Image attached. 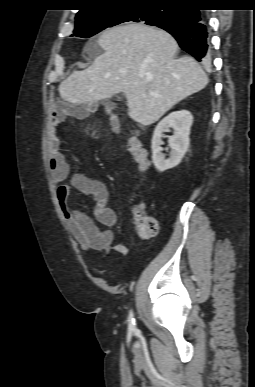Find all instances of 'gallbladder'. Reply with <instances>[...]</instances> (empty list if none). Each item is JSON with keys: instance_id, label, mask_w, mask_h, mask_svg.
Masks as SVG:
<instances>
[{"instance_id": "1", "label": "gallbladder", "mask_w": 255, "mask_h": 387, "mask_svg": "<svg viewBox=\"0 0 255 387\" xmlns=\"http://www.w3.org/2000/svg\"><path fill=\"white\" fill-rule=\"evenodd\" d=\"M102 103L105 104V105H110L111 104V100L109 98L103 99Z\"/></svg>"}]
</instances>
